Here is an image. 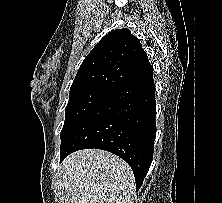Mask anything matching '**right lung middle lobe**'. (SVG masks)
<instances>
[{
	"mask_svg": "<svg viewBox=\"0 0 222 203\" xmlns=\"http://www.w3.org/2000/svg\"><path fill=\"white\" fill-rule=\"evenodd\" d=\"M112 93V91L99 88L70 91L61 138L87 114L108 99Z\"/></svg>",
	"mask_w": 222,
	"mask_h": 203,
	"instance_id": "1",
	"label": "right lung middle lobe"
}]
</instances>
